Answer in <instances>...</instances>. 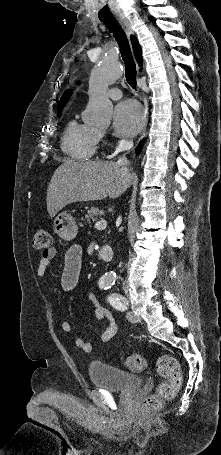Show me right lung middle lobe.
Listing matches in <instances>:
<instances>
[{
  "instance_id": "dd1d6c3e",
  "label": "right lung middle lobe",
  "mask_w": 221,
  "mask_h": 455,
  "mask_svg": "<svg viewBox=\"0 0 221 455\" xmlns=\"http://www.w3.org/2000/svg\"><path fill=\"white\" fill-rule=\"evenodd\" d=\"M61 111H62V109H58V115H60V114H61Z\"/></svg>"
}]
</instances>
